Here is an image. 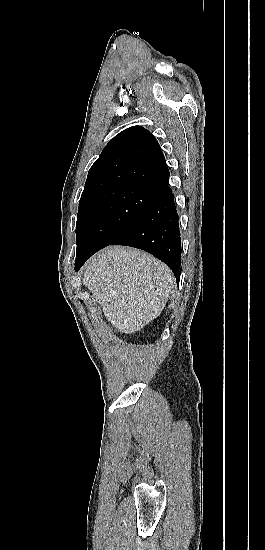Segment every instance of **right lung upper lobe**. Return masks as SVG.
<instances>
[{
    "label": "right lung upper lobe",
    "instance_id": "right-lung-upper-lobe-1",
    "mask_svg": "<svg viewBox=\"0 0 265 550\" xmlns=\"http://www.w3.org/2000/svg\"><path fill=\"white\" fill-rule=\"evenodd\" d=\"M168 177L155 137L143 127L133 126L105 146L88 172L80 201L123 187L161 186Z\"/></svg>",
    "mask_w": 265,
    "mask_h": 550
}]
</instances>
